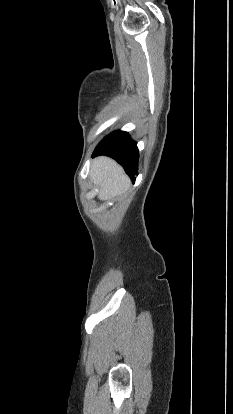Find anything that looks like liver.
I'll return each instance as SVG.
<instances>
[{
    "label": "liver",
    "mask_w": 233,
    "mask_h": 414,
    "mask_svg": "<svg viewBox=\"0 0 233 414\" xmlns=\"http://www.w3.org/2000/svg\"><path fill=\"white\" fill-rule=\"evenodd\" d=\"M90 177L99 188L100 200L115 199L130 187V179L124 169L109 157L100 156L92 161Z\"/></svg>",
    "instance_id": "1"
}]
</instances>
